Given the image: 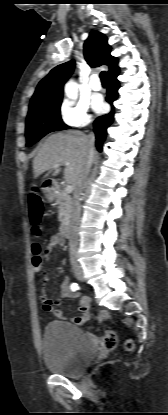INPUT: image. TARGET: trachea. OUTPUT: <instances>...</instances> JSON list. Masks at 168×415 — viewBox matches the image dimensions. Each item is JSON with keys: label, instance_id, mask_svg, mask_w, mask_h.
Wrapping results in <instances>:
<instances>
[{"label": "trachea", "instance_id": "1", "mask_svg": "<svg viewBox=\"0 0 168 415\" xmlns=\"http://www.w3.org/2000/svg\"><path fill=\"white\" fill-rule=\"evenodd\" d=\"M100 79H101V81H102L103 83H107V82H108V78H107V75H106L105 71H102V72L100 73Z\"/></svg>", "mask_w": 168, "mask_h": 415}]
</instances>
